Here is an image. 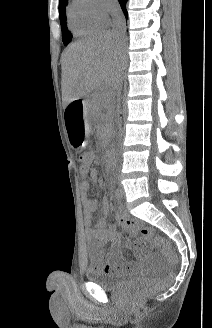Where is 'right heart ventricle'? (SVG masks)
<instances>
[{
  "mask_svg": "<svg viewBox=\"0 0 212 328\" xmlns=\"http://www.w3.org/2000/svg\"><path fill=\"white\" fill-rule=\"evenodd\" d=\"M68 27L76 36L90 34L105 23L97 19L88 0H72L67 8Z\"/></svg>",
  "mask_w": 212,
  "mask_h": 328,
  "instance_id": "e07e8e85",
  "label": "right heart ventricle"
}]
</instances>
